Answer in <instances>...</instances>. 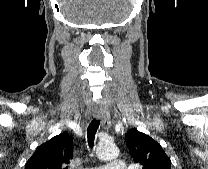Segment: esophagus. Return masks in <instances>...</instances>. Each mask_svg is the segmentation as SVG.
Returning <instances> with one entry per match:
<instances>
[{
  "mask_svg": "<svg viewBox=\"0 0 208 169\" xmlns=\"http://www.w3.org/2000/svg\"><path fill=\"white\" fill-rule=\"evenodd\" d=\"M98 120H101L102 127L108 129L111 125L110 113L107 109L98 108L95 114Z\"/></svg>",
  "mask_w": 208,
  "mask_h": 169,
  "instance_id": "esophagus-1",
  "label": "esophagus"
}]
</instances>
